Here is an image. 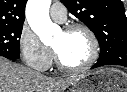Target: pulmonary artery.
Masks as SVG:
<instances>
[{"label": "pulmonary artery", "mask_w": 127, "mask_h": 92, "mask_svg": "<svg viewBox=\"0 0 127 92\" xmlns=\"http://www.w3.org/2000/svg\"><path fill=\"white\" fill-rule=\"evenodd\" d=\"M49 13L53 20L60 23L64 22L67 17L66 8L60 2L53 3L49 9Z\"/></svg>", "instance_id": "obj_1"}]
</instances>
